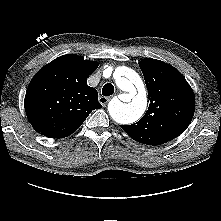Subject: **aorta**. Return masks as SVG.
Returning a JSON list of instances; mask_svg holds the SVG:
<instances>
[{
    "instance_id": "obj_1",
    "label": "aorta",
    "mask_w": 221,
    "mask_h": 221,
    "mask_svg": "<svg viewBox=\"0 0 221 221\" xmlns=\"http://www.w3.org/2000/svg\"><path fill=\"white\" fill-rule=\"evenodd\" d=\"M118 88L126 94V102L118 99L110 101L108 111L118 123L128 124L137 121L147 107V96L140 76L132 69L121 67L114 75ZM136 88L138 93H136Z\"/></svg>"
}]
</instances>
